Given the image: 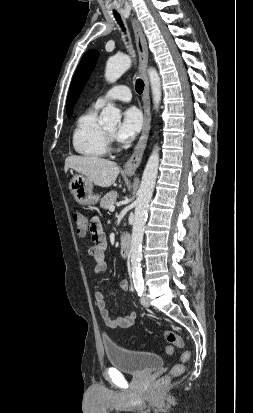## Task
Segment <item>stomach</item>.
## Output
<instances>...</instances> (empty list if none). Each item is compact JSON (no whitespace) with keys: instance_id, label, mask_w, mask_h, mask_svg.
I'll return each instance as SVG.
<instances>
[{"instance_id":"obj_1","label":"stomach","mask_w":253,"mask_h":413,"mask_svg":"<svg viewBox=\"0 0 253 413\" xmlns=\"http://www.w3.org/2000/svg\"><path fill=\"white\" fill-rule=\"evenodd\" d=\"M69 189L75 201L81 205H94L100 199V195L93 192V183L83 174H76L71 178Z\"/></svg>"}]
</instances>
